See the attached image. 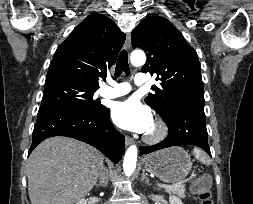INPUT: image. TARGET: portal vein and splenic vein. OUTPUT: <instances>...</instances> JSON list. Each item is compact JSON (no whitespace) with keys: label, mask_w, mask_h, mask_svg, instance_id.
<instances>
[{"label":"portal vein and splenic vein","mask_w":253,"mask_h":204,"mask_svg":"<svg viewBox=\"0 0 253 204\" xmlns=\"http://www.w3.org/2000/svg\"><path fill=\"white\" fill-rule=\"evenodd\" d=\"M184 183V181H180V182H177L175 184H172V185H165V184H161V183H157V185L159 187H162V188H165V189H172V188H176L180 185H182Z\"/></svg>","instance_id":"obj_1"}]
</instances>
